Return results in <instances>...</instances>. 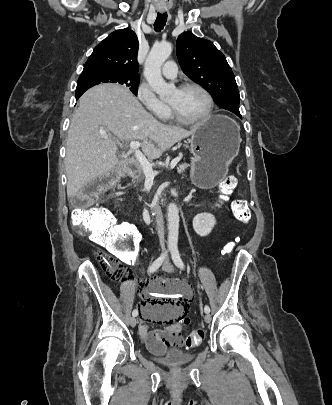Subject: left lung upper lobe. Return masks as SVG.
<instances>
[{"label": "left lung upper lobe", "instance_id": "5c2ea615", "mask_svg": "<svg viewBox=\"0 0 332 405\" xmlns=\"http://www.w3.org/2000/svg\"><path fill=\"white\" fill-rule=\"evenodd\" d=\"M176 47L183 72L206 88L220 107L232 111L234 106L239 105L240 96L233 71L211 41L184 32L179 35Z\"/></svg>", "mask_w": 332, "mask_h": 405}]
</instances>
